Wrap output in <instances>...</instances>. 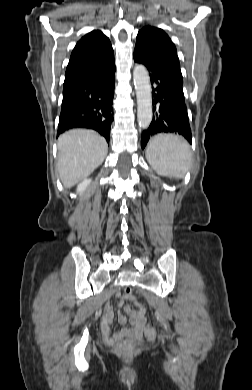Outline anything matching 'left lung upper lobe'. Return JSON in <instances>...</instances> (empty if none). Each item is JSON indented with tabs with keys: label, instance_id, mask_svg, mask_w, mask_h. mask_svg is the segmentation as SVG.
Returning a JSON list of instances; mask_svg holds the SVG:
<instances>
[{
	"label": "left lung upper lobe",
	"instance_id": "obj_1",
	"mask_svg": "<svg viewBox=\"0 0 252 390\" xmlns=\"http://www.w3.org/2000/svg\"><path fill=\"white\" fill-rule=\"evenodd\" d=\"M136 46L181 72L175 45L162 29L152 26L142 28L138 32Z\"/></svg>",
	"mask_w": 252,
	"mask_h": 390
}]
</instances>
